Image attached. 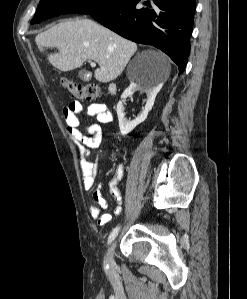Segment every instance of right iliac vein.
Segmentation results:
<instances>
[{"mask_svg": "<svg viewBox=\"0 0 247 299\" xmlns=\"http://www.w3.org/2000/svg\"><path fill=\"white\" fill-rule=\"evenodd\" d=\"M116 245H117V241H114L111 246L109 247L108 249V253H107V260L108 262L110 263L111 266L114 265V252H115V248H116Z\"/></svg>", "mask_w": 247, "mask_h": 299, "instance_id": "63e3f726", "label": "right iliac vein"}]
</instances>
